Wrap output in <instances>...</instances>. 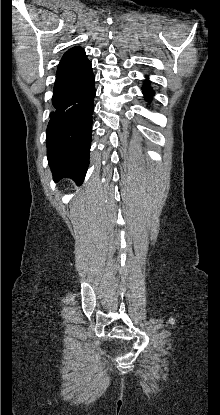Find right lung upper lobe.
<instances>
[{"mask_svg": "<svg viewBox=\"0 0 220 415\" xmlns=\"http://www.w3.org/2000/svg\"><path fill=\"white\" fill-rule=\"evenodd\" d=\"M85 60H87V56L84 49L81 47H73L63 55L58 65L57 73L72 68Z\"/></svg>", "mask_w": 220, "mask_h": 415, "instance_id": "cb5924a9", "label": "right lung upper lobe"}]
</instances>
